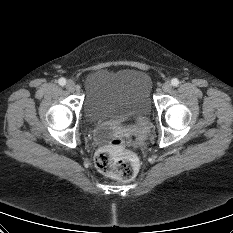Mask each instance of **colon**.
Wrapping results in <instances>:
<instances>
[{"instance_id": "1", "label": "colon", "mask_w": 233, "mask_h": 233, "mask_svg": "<svg viewBox=\"0 0 233 233\" xmlns=\"http://www.w3.org/2000/svg\"><path fill=\"white\" fill-rule=\"evenodd\" d=\"M123 139L113 138L108 145L100 148L95 157L97 169L119 180H130L137 172V163L132 155L122 148Z\"/></svg>"}]
</instances>
